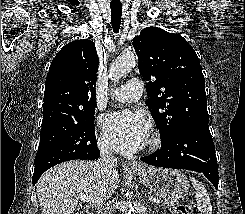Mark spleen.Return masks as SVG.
I'll return each mask as SVG.
<instances>
[{
    "label": "spleen",
    "mask_w": 245,
    "mask_h": 214,
    "mask_svg": "<svg viewBox=\"0 0 245 214\" xmlns=\"http://www.w3.org/2000/svg\"><path fill=\"white\" fill-rule=\"evenodd\" d=\"M190 181L196 191L197 207L201 214H212V205L205 187L197 179L191 177Z\"/></svg>",
    "instance_id": "1"
}]
</instances>
